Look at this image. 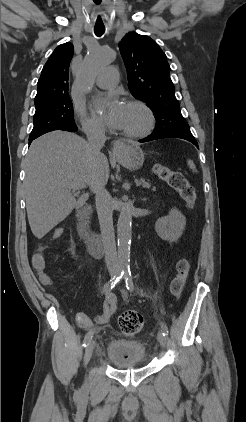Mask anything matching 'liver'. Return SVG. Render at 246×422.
Returning <instances> with one entry per match:
<instances>
[{
    "label": "liver",
    "mask_w": 246,
    "mask_h": 422,
    "mask_svg": "<svg viewBox=\"0 0 246 422\" xmlns=\"http://www.w3.org/2000/svg\"><path fill=\"white\" fill-rule=\"evenodd\" d=\"M25 173L28 221L34 236L41 239L88 200V193L76 199L69 185L84 184L92 190L99 178L107 182L109 163L104 154L94 156L78 135L53 131L32 142Z\"/></svg>",
    "instance_id": "liver-1"
}]
</instances>
